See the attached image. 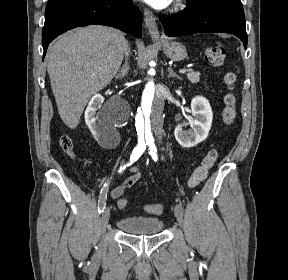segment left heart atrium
<instances>
[{"mask_svg": "<svg viewBox=\"0 0 288 280\" xmlns=\"http://www.w3.org/2000/svg\"><path fill=\"white\" fill-rule=\"evenodd\" d=\"M144 1L155 8L162 9L167 7L172 0H144Z\"/></svg>", "mask_w": 288, "mask_h": 280, "instance_id": "obj_1", "label": "left heart atrium"}]
</instances>
